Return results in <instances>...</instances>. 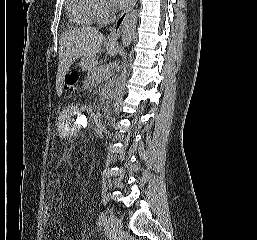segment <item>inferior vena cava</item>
Returning <instances> with one entry per match:
<instances>
[{
  "label": "inferior vena cava",
  "mask_w": 257,
  "mask_h": 240,
  "mask_svg": "<svg viewBox=\"0 0 257 240\" xmlns=\"http://www.w3.org/2000/svg\"><path fill=\"white\" fill-rule=\"evenodd\" d=\"M114 20H115V15H114V12H112L111 21H114Z\"/></svg>",
  "instance_id": "602c4592"
}]
</instances>
